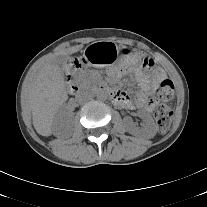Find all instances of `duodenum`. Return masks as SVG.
Segmentation results:
<instances>
[{"mask_svg": "<svg viewBox=\"0 0 207 207\" xmlns=\"http://www.w3.org/2000/svg\"><path fill=\"white\" fill-rule=\"evenodd\" d=\"M68 83H69L70 93L73 95H78L81 90H80V87L78 86V84L74 81L73 74L68 75ZM95 91H97L99 93H108L112 97V99H115V97H116L115 91H111L108 87H106L104 85H97L95 87Z\"/></svg>", "mask_w": 207, "mask_h": 207, "instance_id": "obj_1", "label": "duodenum"}]
</instances>
